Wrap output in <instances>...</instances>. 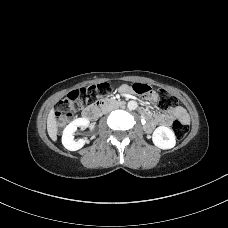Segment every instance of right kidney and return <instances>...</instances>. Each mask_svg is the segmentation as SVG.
<instances>
[{
	"label": "right kidney",
	"instance_id": "right-kidney-1",
	"mask_svg": "<svg viewBox=\"0 0 228 228\" xmlns=\"http://www.w3.org/2000/svg\"><path fill=\"white\" fill-rule=\"evenodd\" d=\"M90 121L87 118H77L66 126L63 130L62 144L70 151H77L85 145V140L74 139V133L78 127H88Z\"/></svg>",
	"mask_w": 228,
	"mask_h": 228
}]
</instances>
